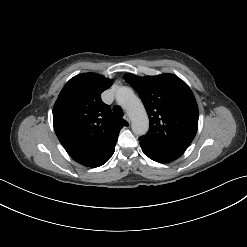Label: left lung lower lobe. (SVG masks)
I'll use <instances>...</instances> for the list:
<instances>
[{"label": "left lung lower lobe", "instance_id": "0a47b994", "mask_svg": "<svg viewBox=\"0 0 247 247\" xmlns=\"http://www.w3.org/2000/svg\"><path fill=\"white\" fill-rule=\"evenodd\" d=\"M139 141L145 155H147L152 160L160 163H169L171 161H174L184 153V151L181 150L159 147L157 145L149 143L141 137L139 138Z\"/></svg>", "mask_w": 247, "mask_h": 247}]
</instances>
